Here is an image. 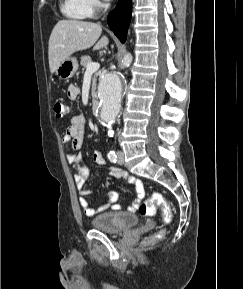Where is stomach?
<instances>
[{"label": "stomach", "instance_id": "1", "mask_svg": "<svg viewBox=\"0 0 243 289\" xmlns=\"http://www.w3.org/2000/svg\"><path fill=\"white\" fill-rule=\"evenodd\" d=\"M78 70V61L75 57H68L56 69V75L60 79L71 78Z\"/></svg>", "mask_w": 243, "mask_h": 289}]
</instances>
